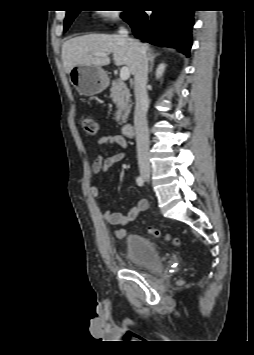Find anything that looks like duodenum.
Instances as JSON below:
<instances>
[{"mask_svg": "<svg viewBox=\"0 0 254 355\" xmlns=\"http://www.w3.org/2000/svg\"><path fill=\"white\" fill-rule=\"evenodd\" d=\"M134 131H135V127L133 124L131 123H126L123 126V134L128 137L131 138L134 136Z\"/></svg>", "mask_w": 254, "mask_h": 355, "instance_id": "410a0bca", "label": "duodenum"}]
</instances>
